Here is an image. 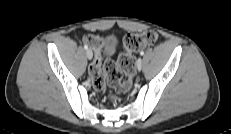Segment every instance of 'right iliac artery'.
<instances>
[{
    "instance_id": "82829eb1",
    "label": "right iliac artery",
    "mask_w": 231,
    "mask_h": 134,
    "mask_svg": "<svg viewBox=\"0 0 231 134\" xmlns=\"http://www.w3.org/2000/svg\"><path fill=\"white\" fill-rule=\"evenodd\" d=\"M84 49H86V50H87V49H88V46H87V45H84Z\"/></svg>"
}]
</instances>
